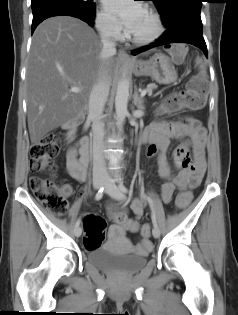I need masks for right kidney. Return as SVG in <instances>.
<instances>
[{
	"mask_svg": "<svg viewBox=\"0 0 238 315\" xmlns=\"http://www.w3.org/2000/svg\"><path fill=\"white\" fill-rule=\"evenodd\" d=\"M75 134V130H72L68 133V136L71 140H73L72 136Z\"/></svg>",
	"mask_w": 238,
	"mask_h": 315,
	"instance_id": "right-kidney-1",
	"label": "right kidney"
}]
</instances>
